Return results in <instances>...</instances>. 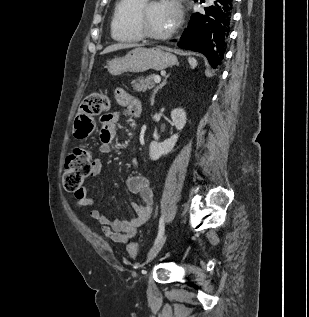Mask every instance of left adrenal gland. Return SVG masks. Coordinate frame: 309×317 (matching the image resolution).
<instances>
[{
    "mask_svg": "<svg viewBox=\"0 0 309 317\" xmlns=\"http://www.w3.org/2000/svg\"><path fill=\"white\" fill-rule=\"evenodd\" d=\"M169 75H170V74H168V75L165 77V79L163 80V82H162L160 85H158V86L153 90L152 97H151V101H152V102H154L155 94L158 92V90L161 89L163 86L166 85L167 79H168Z\"/></svg>",
    "mask_w": 309,
    "mask_h": 317,
    "instance_id": "a2214340",
    "label": "left adrenal gland"
}]
</instances>
